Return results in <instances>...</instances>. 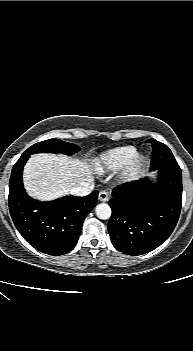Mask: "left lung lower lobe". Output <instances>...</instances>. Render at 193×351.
<instances>
[{"instance_id":"obj_1","label":"left lung lower lobe","mask_w":193,"mask_h":351,"mask_svg":"<svg viewBox=\"0 0 193 351\" xmlns=\"http://www.w3.org/2000/svg\"><path fill=\"white\" fill-rule=\"evenodd\" d=\"M156 185L147 179L117 187L109 201L108 223L114 247L128 255H142L160 246L179 219L182 175L178 164L159 168Z\"/></svg>"}]
</instances>
